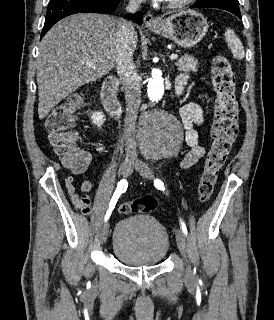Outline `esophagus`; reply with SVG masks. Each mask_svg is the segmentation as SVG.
<instances>
[{
	"label": "esophagus",
	"mask_w": 274,
	"mask_h": 320,
	"mask_svg": "<svg viewBox=\"0 0 274 320\" xmlns=\"http://www.w3.org/2000/svg\"><path fill=\"white\" fill-rule=\"evenodd\" d=\"M158 23H159L158 20L154 18L151 13H147L144 16V24L146 26H154V25H157Z\"/></svg>",
	"instance_id": "1"
}]
</instances>
